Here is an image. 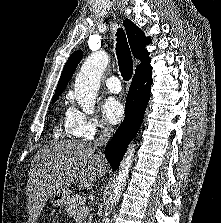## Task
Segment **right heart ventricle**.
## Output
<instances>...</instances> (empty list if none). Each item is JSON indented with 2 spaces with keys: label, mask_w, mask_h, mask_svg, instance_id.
<instances>
[{
  "label": "right heart ventricle",
  "mask_w": 221,
  "mask_h": 223,
  "mask_svg": "<svg viewBox=\"0 0 221 223\" xmlns=\"http://www.w3.org/2000/svg\"><path fill=\"white\" fill-rule=\"evenodd\" d=\"M54 135L56 138H66L74 136L70 130L68 113H66L64 118H59L56 121Z\"/></svg>",
  "instance_id": "right-heart-ventricle-1"
}]
</instances>
